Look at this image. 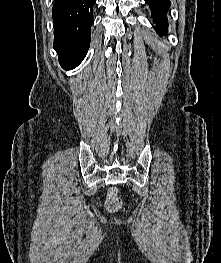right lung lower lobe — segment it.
<instances>
[{
  "label": "right lung lower lobe",
  "mask_w": 221,
  "mask_h": 263,
  "mask_svg": "<svg viewBox=\"0 0 221 263\" xmlns=\"http://www.w3.org/2000/svg\"><path fill=\"white\" fill-rule=\"evenodd\" d=\"M94 4L95 0H54L53 48L58 53L60 65L66 70L77 67L87 54Z\"/></svg>",
  "instance_id": "obj_1"
}]
</instances>
